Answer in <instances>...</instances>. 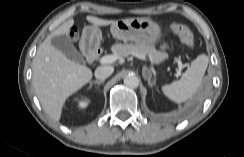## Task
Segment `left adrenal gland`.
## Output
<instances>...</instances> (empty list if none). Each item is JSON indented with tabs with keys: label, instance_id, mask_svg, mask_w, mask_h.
<instances>
[{
	"label": "left adrenal gland",
	"instance_id": "a2214340",
	"mask_svg": "<svg viewBox=\"0 0 244 157\" xmlns=\"http://www.w3.org/2000/svg\"><path fill=\"white\" fill-rule=\"evenodd\" d=\"M142 75H143V78L148 81V84L150 85V87H153L156 84L155 79L153 81H151L152 74L148 68H146V67L143 68Z\"/></svg>",
	"mask_w": 244,
	"mask_h": 157
}]
</instances>
